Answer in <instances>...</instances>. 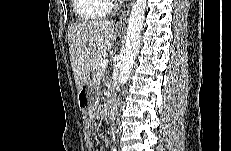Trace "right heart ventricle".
<instances>
[{
	"instance_id": "1",
	"label": "right heart ventricle",
	"mask_w": 231,
	"mask_h": 151,
	"mask_svg": "<svg viewBox=\"0 0 231 151\" xmlns=\"http://www.w3.org/2000/svg\"><path fill=\"white\" fill-rule=\"evenodd\" d=\"M74 10L79 23L99 21L107 16L108 6L102 0H74Z\"/></svg>"
}]
</instances>
